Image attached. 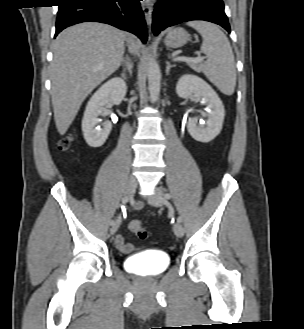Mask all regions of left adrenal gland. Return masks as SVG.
Segmentation results:
<instances>
[{
  "instance_id": "left-adrenal-gland-1",
  "label": "left adrenal gland",
  "mask_w": 304,
  "mask_h": 329,
  "mask_svg": "<svg viewBox=\"0 0 304 329\" xmlns=\"http://www.w3.org/2000/svg\"><path fill=\"white\" fill-rule=\"evenodd\" d=\"M175 67V65H171L169 61L166 62V75H169L170 69Z\"/></svg>"
}]
</instances>
